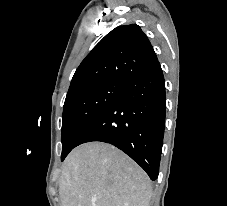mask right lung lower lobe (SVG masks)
Instances as JSON below:
<instances>
[{"label": "right lung lower lobe", "mask_w": 227, "mask_h": 206, "mask_svg": "<svg viewBox=\"0 0 227 206\" xmlns=\"http://www.w3.org/2000/svg\"><path fill=\"white\" fill-rule=\"evenodd\" d=\"M165 81L160 63L125 81L123 93L93 122L77 146L110 143L137 162L155 180L165 127Z\"/></svg>", "instance_id": "1"}]
</instances>
